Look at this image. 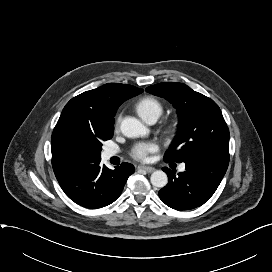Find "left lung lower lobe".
I'll use <instances>...</instances> for the list:
<instances>
[{"label": "left lung lower lobe", "instance_id": "1", "mask_svg": "<svg viewBox=\"0 0 272 272\" xmlns=\"http://www.w3.org/2000/svg\"><path fill=\"white\" fill-rule=\"evenodd\" d=\"M185 164V171L178 176L163 168L169 182L159 191V197L176 210L193 209L210 199L226 173L229 156L205 155Z\"/></svg>", "mask_w": 272, "mask_h": 272}]
</instances>
